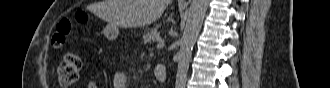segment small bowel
Masks as SVG:
<instances>
[{
	"label": "small bowel",
	"mask_w": 330,
	"mask_h": 88,
	"mask_svg": "<svg viewBox=\"0 0 330 88\" xmlns=\"http://www.w3.org/2000/svg\"><path fill=\"white\" fill-rule=\"evenodd\" d=\"M164 70H162L161 66H155L153 68V75L159 81V77L162 75ZM129 76L127 72L121 71L118 72L114 77V87L115 88H127L128 87Z\"/></svg>",
	"instance_id": "c3829d8e"
}]
</instances>
